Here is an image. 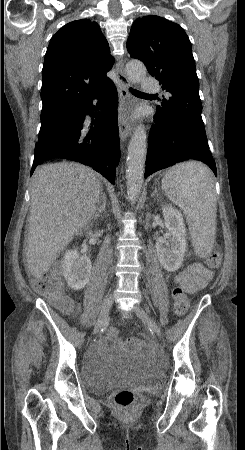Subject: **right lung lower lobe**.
Here are the masks:
<instances>
[{"label": "right lung lower lobe", "instance_id": "98d812e1", "mask_svg": "<svg viewBox=\"0 0 245 450\" xmlns=\"http://www.w3.org/2000/svg\"><path fill=\"white\" fill-rule=\"evenodd\" d=\"M115 97L116 89L110 80L97 91L54 115L49 124L40 130L31 175L44 160L67 159L89 165L115 184L120 156ZM94 99L99 101L96 106ZM86 115L96 119L89 124Z\"/></svg>", "mask_w": 245, "mask_h": 450}]
</instances>
